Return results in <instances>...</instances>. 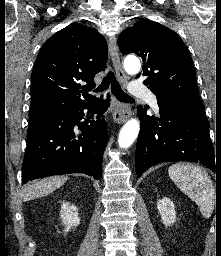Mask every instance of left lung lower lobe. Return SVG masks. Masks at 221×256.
<instances>
[{
  "label": "left lung lower lobe",
  "instance_id": "1",
  "mask_svg": "<svg viewBox=\"0 0 221 256\" xmlns=\"http://www.w3.org/2000/svg\"><path fill=\"white\" fill-rule=\"evenodd\" d=\"M160 118L148 116L138 107L141 121L137 140L135 169L139 178L148 168L161 162H199L216 169L209 123L201 102L157 99Z\"/></svg>",
  "mask_w": 221,
  "mask_h": 256
}]
</instances>
